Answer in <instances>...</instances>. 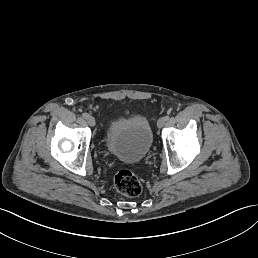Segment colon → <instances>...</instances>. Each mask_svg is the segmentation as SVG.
Here are the masks:
<instances>
[{
    "label": "colon",
    "mask_w": 258,
    "mask_h": 258,
    "mask_svg": "<svg viewBox=\"0 0 258 258\" xmlns=\"http://www.w3.org/2000/svg\"><path fill=\"white\" fill-rule=\"evenodd\" d=\"M114 186L119 193L127 197H136L142 190L139 179L126 168H120L116 172Z\"/></svg>",
    "instance_id": "colon-1"
}]
</instances>
